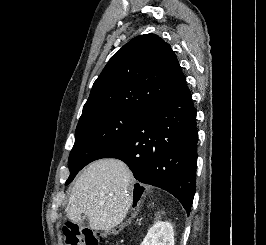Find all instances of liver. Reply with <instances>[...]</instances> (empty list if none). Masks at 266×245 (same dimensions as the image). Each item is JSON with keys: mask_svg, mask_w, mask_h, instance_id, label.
Wrapping results in <instances>:
<instances>
[{"mask_svg": "<svg viewBox=\"0 0 266 245\" xmlns=\"http://www.w3.org/2000/svg\"><path fill=\"white\" fill-rule=\"evenodd\" d=\"M133 175L118 159H100L88 165L74 183L68 201L67 217L83 223L82 213L93 231H110L125 219L130 207L128 197Z\"/></svg>", "mask_w": 266, "mask_h": 245, "instance_id": "liver-1", "label": "liver"}]
</instances>
